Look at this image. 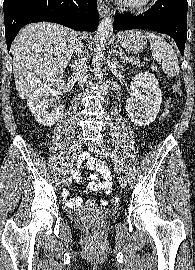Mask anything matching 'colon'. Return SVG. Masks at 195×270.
Returning <instances> with one entry per match:
<instances>
[{
  "label": "colon",
  "mask_w": 195,
  "mask_h": 270,
  "mask_svg": "<svg viewBox=\"0 0 195 270\" xmlns=\"http://www.w3.org/2000/svg\"><path fill=\"white\" fill-rule=\"evenodd\" d=\"M174 90H175V92H176L178 95L181 94V88H180L179 83H175V85H174ZM119 202H120V197H119L118 195H115V196L113 197V203L118 204ZM91 228L93 229V228H94V225H91Z\"/></svg>",
  "instance_id": "colon-1"
}]
</instances>
